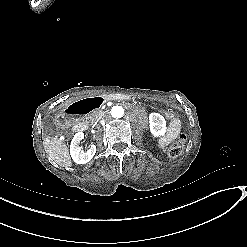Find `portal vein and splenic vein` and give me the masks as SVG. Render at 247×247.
Wrapping results in <instances>:
<instances>
[{
    "label": "portal vein and splenic vein",
    "instance_id": "portal-vein-and-splenic-vein-1",
    "mask_svg": "<svg viewBox=\"0 0 247 247\" xmlns=\"http://www.w3.org/2000/svg\"><path fill=\"white\" fill-rule=\"evenodd\" d=\"M107 107V104H103V106H101V109H105Z\"/></svg>",
    "mask_w": 247,
    "mask_h": 247
}]
</instances>
